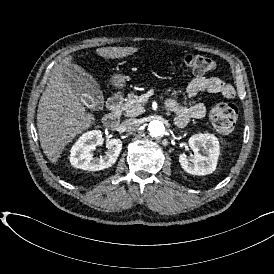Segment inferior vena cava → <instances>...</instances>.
<instances>
[{"mask_svg": "<svg viewBox=\"0 0 274 274\" xmlns=\"http://www.w3.org/2000/svg\"><path fill=\"white\" fill-rule=\"evenodd\" d=\"M140 126L138 119L129 118L121 123V127L124 131L131 132L136 130Z\"/></svg>", "mask_w": 274, "mask_h": 274, "instance_id": "602c4592", "label": "inferior vena cava"}]
</instances>
